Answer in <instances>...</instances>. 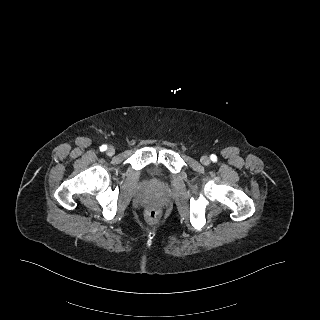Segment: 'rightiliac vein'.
I'll list each match as a JSON object with an SVG mask.
<instances>
[{"label":"right iliac vein","mask_w":320,"mask_h":320,"mask_svg":"<svg viewBox=\"0 0 320 320\" xmlns=\"http://www.w3.org/2000/svg\"><path fill=\"white\" fill-rule=\"evenodd\" d=\"M106 153L108 156H112L115 153V149L113 147H109Z\"/></svg>","instance_id":"right-iliac-vein-1"}]
</instances>
